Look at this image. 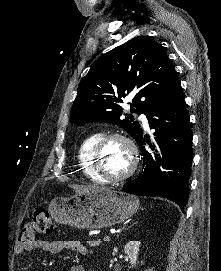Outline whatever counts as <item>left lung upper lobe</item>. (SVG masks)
<instances>
[{"instance_id": "1", "label": "left lung upper lobe", "mask_w": 221, "mask_h": 271, "mask_svg": "<svg viewBox=\"0 0 221 271\" xmlns=\"http://www.w3.org/2000/svg\"><path fill=\"white\" fill-rule=\"evenodd\" d=\"M179 84L161 46L147 36L135 37L98 59L82 78L71 121L77 125L95 121L113 123L136 140L142 129L130 114L121 119L122 98L132 96L130 111L148 116Z\"/></svg>"}]
</instances>
